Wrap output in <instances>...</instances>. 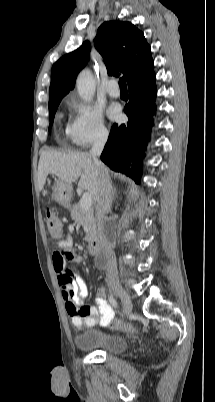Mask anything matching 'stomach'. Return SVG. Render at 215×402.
Masks as SVG:
<instances>
[{"mask_svg": "<svg viewBox=\"0 0 215 402\" xmlns=\"http://www.w3.org/2000/svg\"><path fill=\"white\" fill-rule=\"evenodd\" d=\"M52 189L53 199L63 207L69 208L72 196V186L58 179L55 181Z\"/></svg>", "mask_w": 215, "mask_h": 402, "instance_id": "0dacf381", "label": "stomach"}]
</instances>
